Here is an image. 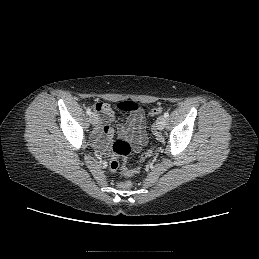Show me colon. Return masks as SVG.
I'll list each match as a JSON object with an SVG mask.
<instances>
[{"instance_id":"obj_1","label":"colon","mask_w":259,"mask_h":259,"mask_svg":"<svg viewBox=\"0 0 259 259\" xmlns=\"http://www.w3.org/2000/svg\"><path fill=\"white\" fill-rule=\"evenodd\" d=\"M118 108L122 111H134L138 109V105L131 101H124L118 104ZM162 112V108L156 107L150 110V115L156 116ZM112 157L110 160V169L112 171H116L119 168V161L118 158H122L124 161L127 160L128 156L130 155L131 148L130 145L124 140H116L112 145ZM152 155V149H147L141 154V161L147 160ZM124 178L119 182L118 186L122 189H128L132 186V181L130 176L132 173L123 170Z\"/></svg>"}]
</instances>
